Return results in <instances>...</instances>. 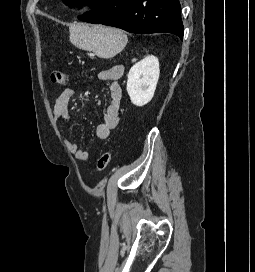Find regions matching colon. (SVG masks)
Masks as SVG:
<instances>
[{
	"label": "colon",
	"mask_w": 255,
	"mask_h": 272,
	"mask_svg": "<svg viewBox=\"0 0 255 272\" xmlns=\"http://www.w3.org/2000/svg\"><path fill=\"white\" fill-rule=\"evenodd\" d=\"M51 81L57 85H65L67 83V77L65 73L59 69H54L51 71L50 75ZM111 152L109 150L103 152L97 160L96 168L99 172H103L108 167L111 161Z\"/></svg>",
	"instance_id": "obj_1"
}]
</instances>
